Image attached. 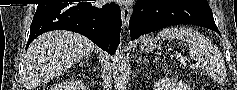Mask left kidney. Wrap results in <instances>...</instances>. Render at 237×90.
I'll list each match as a JSON object with an SVG mask.
<instances>
[{
  "label": "left kidney",
  "mask_w": 237,
  "mask_h": 90,
  "mask_svg": "<svg viewBox=\"0 0 237 90\" xmlns=\"http://www.w3.org/2000/svg\"><path fill=\"white\" fill-rule=\"evenodd\" d=\"M154 90H190L188 84L179 82L175 78H161L157 80Z\"/></svg>",
  "instance_id": "left-kidney-1"
}]
</instances>
